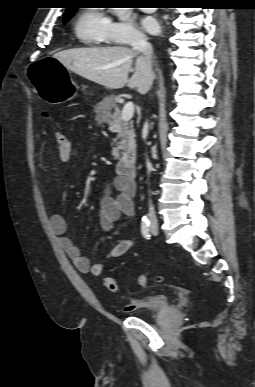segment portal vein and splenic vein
I'll use <instances>...</instances> for the list:
<instances>
[{"label": "portal vein and splenic vein", "instance_id": "18ae733b", "mask_svg": "<svg viewBox=\"0 0 255 387\" xmlns=\"http://www.w3.org/2000/svg\"><path fill=\"white\" fill-rule=\"evenodd\" d=\"M134 115V104L132 102H127L122 109V120L127 122L133 118Z\"/></svg>", "mask_w": 255, "mask_h": 387}]
</instances>
